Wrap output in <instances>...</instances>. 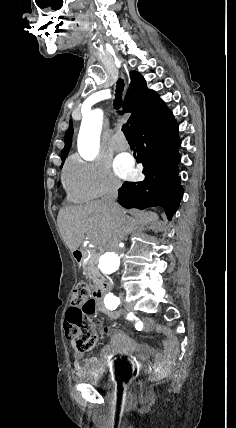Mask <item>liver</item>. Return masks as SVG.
<instances>
[{"label":"liver","instance_id":"6515ba94","mask_svg":"<svg viewBox=\"0 0 236 428\" xmlns=\"http://www.w3.org/2000/svg\"><path fill=\"white\" fill-rule=\"evenodd\" d=\"M125 214L122 210L121 216H117L107 208L104 200H93L84 206L60 210L57 224L71 252H76L85 238H88L90 244L102 246L105 250L116 248L124 240L125 234L132 232L137 224H151L150 230L158 232L159 228L154 226V222H157L159 216L155 212H141L138 220Z\"/></svg>","mask_w":236,"mask_h":428}]
</instances>
